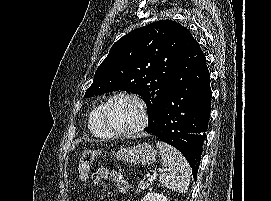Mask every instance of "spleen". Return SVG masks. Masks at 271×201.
<instances>
[{"label":"spleen","mask_w":271,"mask_h":201,"mask_svg":"<svg viewBox=\"0 0 271 201\" xmlns=\"http://www.w3.org/2000/svg\"><path fill=\"white\" fill-rule=\"evenodd\" d=\"M162 164L167 168L159 177L160 184L172 191L185 193L190 184V166L185 157L173 146L158 141Z\"/></svg>","instance_id":"spleen-1"}]
</instances>
